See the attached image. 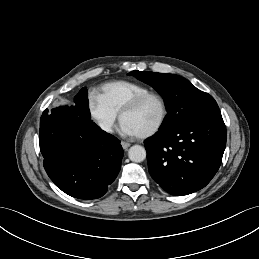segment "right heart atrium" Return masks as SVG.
<instances>
[{"instance_id": "1", "label": "right heart atrium", "mask_w": 259, "mask_h": 259, "mask_svg": "<svg viewBox=\"0 0 259 259\" xmlns=\"http://www.w3.org/2000/svg\"><path fill=\"white\" fill-rule=\"evenodd\" d=\"M87 108L90 117L103 133L113 132L118 115L100 95L90 94L87 98Z\"/></svg>"}]
</instances>
